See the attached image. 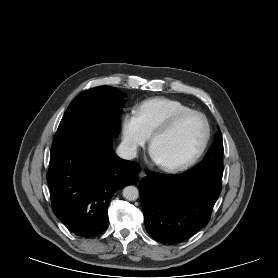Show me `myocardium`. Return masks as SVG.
Returning a JSON list of instances; mask_svg holds the SVG:
<instances>
[{
	"label": "myocardium",
	"mask_w": 278,
	"mask_h": 278,
	"mask_svg": "<svg viewBox=\"0 0 278 278\" xmlns=\"http://www.w3.org/2000/svg\"><path fill=\"white\" fill-rule=\"evenodd\" d=\"M190 115H197V116L201 117L204 122L205 134H204L202 143H201L200 147L198 148V150L190 158H188L182 162H179L176 164L159 163L161 169H163L166 172L174 173V172L184 171V170L190 168L203 156L204 152L207 149V146H208L210 138H211L210 122L204 113H202L201 111H198V110H194V109H189V110L179 112V113L173 115L170 119H168L162 125L157 127L151 134L150 147L152 148V146L157 138L172 131L183 118L190 116Z\"/></svg>",
	"instance_id": "1"
}]
</instances>
